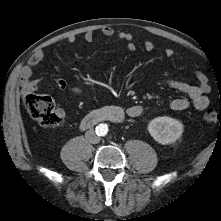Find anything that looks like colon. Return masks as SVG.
Returning a JSON list of instances; mask_svg holds the SVG:
<instances>
[{
  "label": "colon",
  "mask_w": 221,
  "mask_h": 221,
  "mask_svg": "<svg viewBox=\"0 0 221 221\" xmlns=\"http://www.w3.org/2000/svg\"><path fill=\"white\" fill-rule=\"evenodd\" d=\"M27 111L44 128H57L63 123V119L56 111L52 99L45 95L27 94L23 99ZM204 121L207 124H216L221 121L219 113L209 109L204 113Z\"/></svg>",
  "instance_id": "colon-1"
}]
</instances>
